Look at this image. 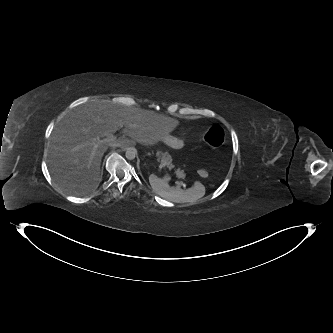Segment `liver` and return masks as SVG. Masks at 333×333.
<instances>
[{"instance_id":"1","label":"liver","mask_w":333,"mask_h":333,"mask_svg":"<svg viewBox=\"0 0 333 333\" xmlns=\"http://www.w3.org/2000/svg\"><path fill=\"white\" fill-rule=\"evenodd\" d=\"M178 124L172 117L127 102L93 99L81 104L59 122L51 135L48 165L52 178L68 193L84 195L98 186L101 159L111 143L120 147L130 142L154 145L169 136ZM120 128L122 137L105 140ZM103 137L106 138L100 140Z\"/></svg>"}]
</instances>
